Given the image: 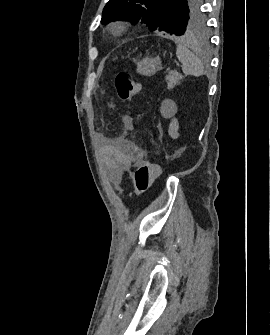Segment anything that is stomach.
<instances>
[{
	"mask_svg": "<svg viewBox=\"0 0 270 335\" xmlns=\"http://www.w3.org/2000/svg\"><path fill=\"white\" fill-rule=\"evenodd\" d=\"M137 64V72L138 74H142V76H153L155 72L161 70V60L160 58H142Z\"/></svg>",
	"mask_w": 270,
	"mask_h": 335,
	"instance_id": "1",
	"label": "stomach"
}]
</instances>
